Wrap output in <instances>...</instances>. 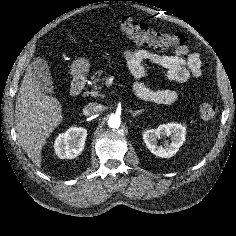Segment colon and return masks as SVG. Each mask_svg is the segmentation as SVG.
Segmentation results:
<instances>
[{"mask_svg": "<svg viewBox=\"0 0 236 236\" xmlns=\"http://www.w3.org/2000/svg\"><path fill=\"white\" fill-rule=\"evenodd\" d=\"M120 31L138 44H147L160 48L177 49L183 45L185 39L179 34L164 33L145 23L134 21L129 17L118 19ZM201 117L205 120L214 118L217 107L212 103H203L200 107Z\"/></svg>", "mask_w": 236, "mask_h": 236, "instance_id": "5ec220e1", "label": "colon"}]
</instances>
